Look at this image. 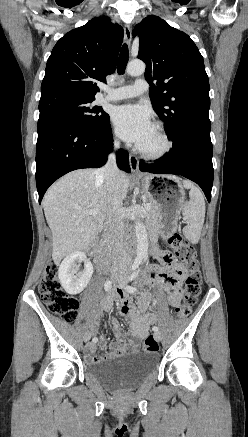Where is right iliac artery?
I'll use <instances>...</instances> for the list:
<instances>
[{
  "instance_id": "obj_1",
  "label": "right iliac artery",
  "mask_w": 248,
  "mask_h": 437,
  "mask_svg": "<svg viewBox=\"0 0 248 437\" xmlns=\"http://www.w3.org/2000/svg\"><path fill=\"white\" fill-rule=\"evenodd\" d=\"M140 262H141V259H137L132 266V270H135L139 266ZM104 288H105V291L109 292L112 288V282L110 280H107L104 284ZM97 341H98V339L96 337H94L92 339L93 343H96Z\"/></svg>"
}]
</instances>
